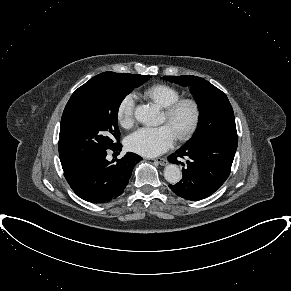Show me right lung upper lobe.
Returning a JSON list of instances; mask_svg holds the SVG:
<instances>
[{
	"label": "right lung upper lobe",
	"mask_w": 291,
	"mask_h": 291,
	"mask_svg": "<svg viewBox=\"0 0 291 291\" xmlns=\"http://www.w3.org/2000/svg\"><path fill=\"white\" fill-rule=\"evenodd\" d=\"M137 74H124V73H115V72H104L99 74L98 76H116V77H122V78H130Z\"/></svg>",
	"instance_id": "1"
}]
</instances>
